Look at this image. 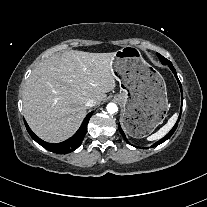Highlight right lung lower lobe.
<instances>
[{
  "instance_id": "obj_1",
  "label": "right lung lower lobe",
  "mask_w": 207,
  "mask_h": 207,
  "mask_svg": "<svg viewBox=\"0 0 207 207\" xmlns=\"http://www.w3.org/2000/svg\"><path fill=\"white\" fill-rule=\"evenodd\" d=\"M92 113L93 112H90L85 117L79 130L71 138H69L68 140H66L64 142L57 143V144L47 143V142L41 140L39 137H37L31 131V129L29 128V126L27 125L25 120H24V122H25V126H26L28 133L38 144H40L42 147H44L45 149H48L49 151H51L53 153L66 154V153H69V152L76 150L80 146V144L82 143L83 138L87 132V124L89 122V119H90Z\"/></svg>"
}]
</instances>
